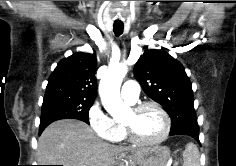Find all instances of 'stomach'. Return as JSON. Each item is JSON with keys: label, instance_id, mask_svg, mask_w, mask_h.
I'll use <instances>...</instances> for the list:
<instances>
[{"label": "stomach", "instance_id": "stomach-1", "mask_svg": "<svg viewBox=\"0 0 236 166\" xmlns=\"http://www.w3.org/2000/svg\"><path fill=\"white\" fill-rule=\"evenodd\" d=\"M169 157L170 150L165 146L148 147L142 149L140 159L132 166H166Z\"/></svg>", "mask_w": 236, "mask_h": 166}]
</instances>
